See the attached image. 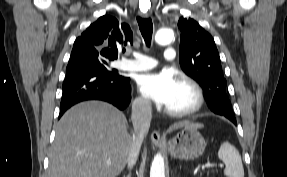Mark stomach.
<instances>
[{
	"instance_id": "0dacf381",
	"label": "stomach",
	"mask_w": 287,
	"mask_h": 177,
	"mask_svg": "<svg viewBox=\"0 0 287 177\" xmlns=\"http://www.w3.org/2000/svg\"><path fill=\"white\" fill-rule=\"evenodd\" d=\"M206 147L203 136L192 126H185L168 142V151L174 158L194 160L199 158Z\"/></svg>"
}]
</instances>
